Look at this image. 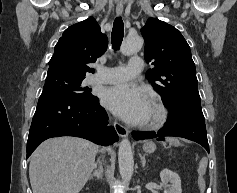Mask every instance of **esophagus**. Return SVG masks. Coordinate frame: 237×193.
Segmentation results:
<instances>
[{
    "instance_id": "34e87169",
    "label": "esophagus",
    "mask_w": 237,
    "mask_h": 193,
    "mask_svg": "<svg viewBox=\"0 0 237 193\" xmlns=\"http://www.w3.org/2000/svg\"><path fill=\"white\" fill-rule=\"evenodd\" d=\"M122 12H123V7L117 6V8H116L117 15H121ZM114 128H115L117 134L122 138L127 137L129 134V131L118 122H114Z\"/></svg>"
}]
</instances>
